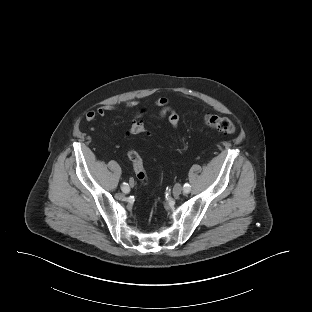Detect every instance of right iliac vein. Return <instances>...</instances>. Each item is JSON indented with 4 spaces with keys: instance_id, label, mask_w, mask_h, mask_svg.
<instances>
[{
    "instance_id": "right-iliac-vein-1",
    "label": "right iliac vein",
    "mask_w": 312,
    "mask_h": 312,
    "mask_svg": "<svg viewBox=\"0 0 312 312\" xmlns=\"http://www.w3.org/2000/svg\"><path fill=\"white\" fill-rule=\"evenodd\" d=\"M129 183H130L131 186H133L134 181L132 179H130Z\"/></svg>"
}]
</instances>
